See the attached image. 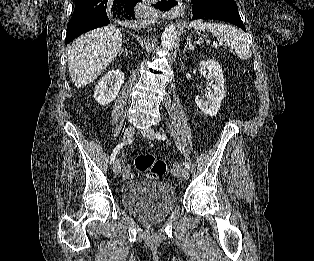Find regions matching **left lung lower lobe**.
Returning a JSON list of instances; mask_svg holds the SVG:
<instances>
[{
    "label": "left lung lower lobe",
    "instance_id": "1",
    "mask_svg": "<svg viewBox=\"0 0 314 261\" xmlns=\"http://www.w3.org/2000/svg\"><path fill=\"white\" fill-rule=\"evenodd\" d=\"M193 15L190 20L214 19L229 22L246 31L234 1H203L192 0Z\"/></svg>",
    "mask_w": 314,
    "mask_h": 261
}]
</instances>
